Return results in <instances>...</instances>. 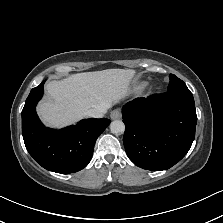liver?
Instances as JSON below:
<instances>
[{
	"label": "liver",
	"mask_w": 223,
	"mask_h": 223,
	"mask_svg": "<svg viewBox=\"0 0 223 223\" xmlns=\"http://www.w3.org/2000/svg\"><path fill=\"white\" fill-rule=\"evenodd\" d=\"M134 74L132 69H106L50 81L45 86L49 98L39 103L38 114L46 125H69L85 117L89 109L111 106L126 97Z\"/></svg>",
	"instance_id": "1"
}]
</instances>
